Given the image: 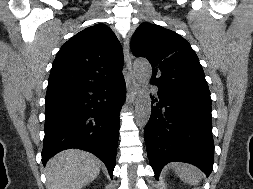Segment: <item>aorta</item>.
<instances>
[{
    "label": "aorta",
    "mask_w": 253,
    "mask_h": 189,
    "mask_svg": "<svg viewBox=\"0 0 253 189\" xmlns=\"http://www.w3.org/2000/svg\"><path fill=\"white\" fill-rule=\"evenodd\" d=\"M134 74L140 83L138 99L135 105V121L139 127H144L151 115V98L147 89L152 75V67L145 59H137L133 65Z\"/></svg>",
    "instance_id": "1"
}]
</instances>
